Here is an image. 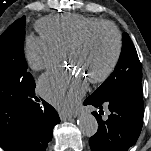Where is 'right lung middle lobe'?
<instances>
[{"instance_id": "obj_1", "label": "right lung middle lobe", "mask_w": 151, "mask_h": 151, "mask_svg": "<svg viewBox=\"0 0 151 151\" xmlns=\"http://www.w3.org/2000/svg\"><path fill=\"white\" fill-rule=\"evenodd\" d=\"M25 16L11 24L0 36V78L5 79V89L0 88V99L24 106L27 104L31 74L27 72L24 56Z\"/></svg>"}]
</instances>
